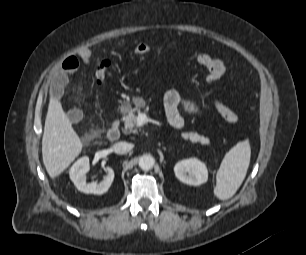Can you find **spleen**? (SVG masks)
<instances>
[{
    "label": "spleen",
    "instance_id": "3e777b00",
    "mask_svg": "<svg viewBox=\"0 0 306 255\" xmlns=\"http://www.w3.org/2000/svg\"><path fill=\"white\" fill-rule=\"evenodd\" d=\"M251 157L248 139L238 142L224 156L216 174L214 195L219 200L230 199L245 179Z\"/></svg>",
    "mask_w": 306,
    "mask_h": 255
}]
</instances>
